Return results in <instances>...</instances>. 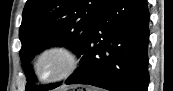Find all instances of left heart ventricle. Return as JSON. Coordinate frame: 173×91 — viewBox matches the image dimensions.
I'll use <instances>...</instances> for the list:
<instances>
[{"instance_id":"b2bd125f","label":"left heart ventricle","mask_w":173,"mask_h":91,"mask_svg":"<svg viewBox=\"0 0 173 91\" xmlns=\"http://www.w3.org/2000/svg\"><path fill=\"white\" fill-rule=\"evenodd\" d=\"M59 65V62L55 58H48L45 60L43 64V72L45 74L54 72Z\"/></svg>"}]
</instances>
